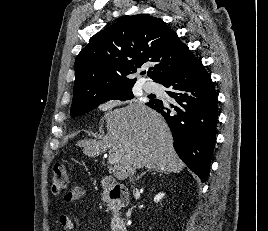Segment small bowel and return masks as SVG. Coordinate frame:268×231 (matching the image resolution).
Listing matches in <instances>:
<instances>
[{"label":"small bowel","mask_w":268,"mask_h":231,"mask_svg":"<svg viewBox=\"0 0 268 231\" xmlns=\"http://www.w3.org/2000/svg\"><path fill=\"white\" fill-rule=\"evenodd\" d=\"M85 196V189L81 186H73L67 192V194L63 198L64 204H70L74 201L81 200ZM86 212L94 213V210L91 207H83ZM58 224L60 231H71L73 228V222L71 218L66 215H60L58 217Z\"/></svg>","instance_id":"1"}]
</instances>
